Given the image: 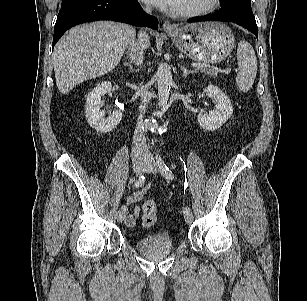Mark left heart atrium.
<instances>
[{
  "mask_svg": "<svg viewBox=\"0 0 307 301\" xmlns=\"http://www.w3.org/2000/svg\"><path fill=\"white\" fill-rule=\"evenodd\" d=\"M161 9H173L177 8L179 0H143Z\"/></svg>",
  "mask_w": 307,
  "mask_h": 301,
  "instance_id": "obj_1",
  "label": "left heart atrium"
}]
</instances>
